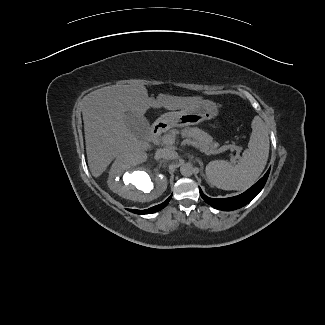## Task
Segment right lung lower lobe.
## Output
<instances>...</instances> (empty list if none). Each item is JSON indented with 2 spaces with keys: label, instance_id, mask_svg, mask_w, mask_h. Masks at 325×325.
<instances>
[{
  "label": "right lung lower lobe",
  "instance_id": "obj_1",
  "mask_svg": "<svg viewBox=\"0 0 325 325\" xmlns=\"http://www.w3.org/2000/svg\"><path fill=\"white\" fill-rule=\"evenodd\" d=\"M171 197L172 196H170L163 203H161L159 205H156L154 207H151L149 209H146V210H134V209H128V210L131 211V212H133V213H136V214H150V213H154V212H157V211L163 209L168 204V202L170 201Z\"/></svg>",
  "mask_w": 325,
  "mask_h": 325
}]
</instances>
